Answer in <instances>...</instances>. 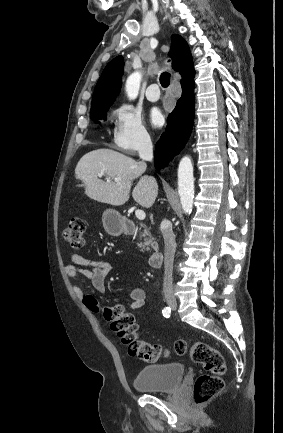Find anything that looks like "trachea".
Returning a JSON list of instances; mask_svg holds the SVG:
<instances>
[{
	"mask_svg": "<svg viewBox=\"0 0 283 433\" xmlns=\"http://www.w3.org/2000/svg\"><path fill=\"white\" fill-rule=\"evenodd\" d=\"M170 77L171 74L168 72H163L160 76V83L164 88H167L170 85Z\"/></svg>",
	"mask_w": 283,
	"mask_h": 433,
	"instance_id": "3493384b",
	"label": "trachea"
}]
</instances>
